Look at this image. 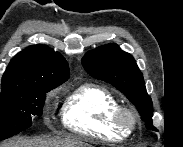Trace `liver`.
I'll return each instance as SVG.
<instances>
[{
    "instance_id": "liver-1",
    "label": "liver",
    "mask_w": 183,
    "mask_h": 147,
    "mask_svg": "<svg viewBox=\"0 0 183 147\" xmlns=\"http://www.w3.org/2000/svg\"><path fill=\"white\" fill-rule=\"evenodd\" d=\"M2 147H92L76 137L16 139L2 144Z\"/></svg>"
}]
</instances>
